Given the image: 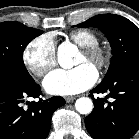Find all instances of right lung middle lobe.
<instances>
[{
  "label": "right lung middle lobe",
  "instance_id": "obj_1",
  "mask_svg": "<svg viewBox=\"0 0 139 139\" xmlns=\"http://www.w3.org/2000/svg\"><path fill=\"white\" fill-rule=\"evenodd\" d=\"M41 34V30L19 22L0 23V68L30 76L23 62V51L32 39Z\"/></svg>",
  "mask_w": 139,
  "mask_h": 139
}]
</instances>
